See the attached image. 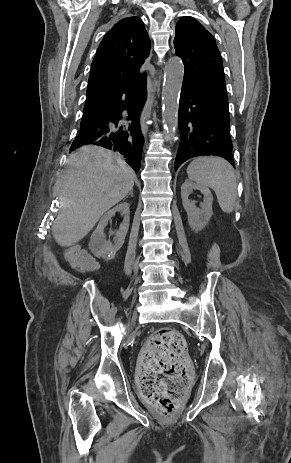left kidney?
<instances>
[{"label":"left kidney","instance_id":"1","mask_svg":"<svg viewBox=\"0 0 291 463\" xmlns=\"http://www.w3.org/2000/svg\"><path fill=\"white\" fill-rule=\"evenodd\" d=\"M200 190L204 194V202L201 208H197L194 202L189 200L193 190ZM182 204L188 215V223L195 232L201 231L209 222L212 212L213 196L207 187L186 180L181 187Z\"/></svg>","mask_w":291,"mask_h":463}]
</instances>
